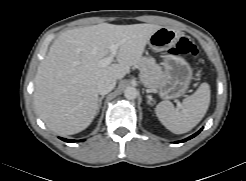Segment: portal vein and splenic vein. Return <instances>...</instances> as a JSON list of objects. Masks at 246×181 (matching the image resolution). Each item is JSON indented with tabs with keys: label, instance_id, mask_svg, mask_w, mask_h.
Listing matches in <instances>:
<instances>
[{
	"label": "portal vein and splenic vein",
	"instance_id": "1",
	"mask_svg": "<svg viewBox=\"0 0 246 181\" xmlns=\"http://www.w3.org/2000/svg\"><path fill=\"white\" fill-rule=\"evenodd\" d=\"M118 47H119L118 44H112L110 46V54L107 57H105L99 61V65L101 67H106L113 62V60L117 54Z\"/></svg>",
	"mask_w": 246,
	"mask_h": 181
}]
</instances>
